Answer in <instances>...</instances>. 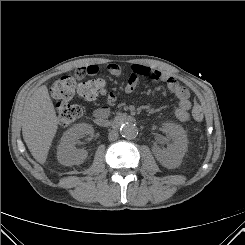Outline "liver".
I'll use <instances>...</instances> for the list:
<instances>
[{"label":"liver","instance_id":"obj_1","mask_svg":"<svg viewBox=\"0 0 245 245\" xmlns=\"http://www.w3.org/2000/svg\"><path fill=\"white\" fill-rule=\"evenodd\" d=\"M57 129L58 119L53 102L46 85H42L27 101L22 124L23 139L40 164L46 162Z\"/></svg>","mask_w":245,"mask_h":245}]
</instances>
